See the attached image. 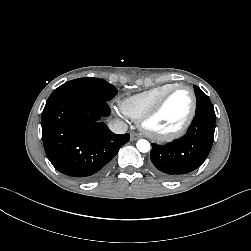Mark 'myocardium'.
Returning <instances> with one entry per match:
<instances>
[{"instance_id":"myocardium-1","label":"myocardium","mask_w":251,"mask_h":251,"mask_svg":"<svg viewBox=\"0 0 251 251\" xmlns=\"http://www.w3.org/2000/svg\"><path fill=\"white\" fill-rule=\"evenodd\" d=\"M185 89L188 90L192 97V105L191 110L189 112L188 117L184 121V123L175 131L169 132V133H157L152 131L149 128V122L159 113L161 108L163 107L164 103L168 99V97L175 91ZM197 111V96L193 88L187 85H181L177 84L171 87L169 90H167L153 105L152 107L143 114V116L139 119V127L143 131V133L148 136L149 138L166 142V141H172L175 140L182 135L185 134V132L188 130L190 125L192 124L195 115Z\"/></svg>"}]
</instances>
